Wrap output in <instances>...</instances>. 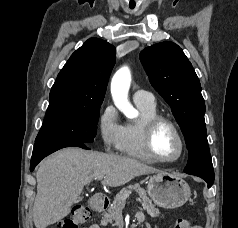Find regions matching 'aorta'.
I'll return each mask as SVG.
<instances>
[{"mask_svg": "<svg viewBox=\"0 0 238 228\" xmlns=\"http://www.w3.org/2000/svg\"><path fill=\"white\" fill-rule=\"evenodd\" d=\"M131 84V73L128 67H122L113 76L111 81V94L116 107L127 117L136 115V110L128 100V91Z\"/></svg>", "mask_w": 238, "mask_h": 228, "instance_id": "1", "label": "aorta"}]
</instances>
